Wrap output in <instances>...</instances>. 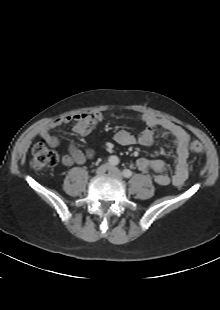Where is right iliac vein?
Wrapping results in <instances>:
<instances>
[{"label":"right iliac vein","instance_id":"obj_1","mask_svg":"<svg viewBox=\"0 0 220 310\" xmlns=\"http://www.w3.org/2000/svg\"><path fill=\"white\" fill-rule=\"evenodd\" d=\"M109 164H102L101 166H99L96 170V174L97 175H103L107 170H109Z\"/></svg>","mask_w":220,"mask_h":310}]
</instances>
